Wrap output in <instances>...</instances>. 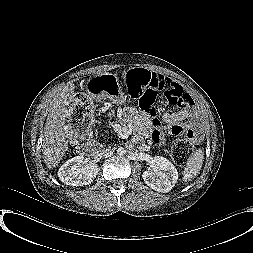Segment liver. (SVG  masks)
Here are the masks:
<instances>
[{
    "mask_svg": "<svg viewBox=\"0 0 253 253\" xmlns=\"http://www.w3.org/2000/svg\"><path fill=\"white\" fill-rule=\"evenodd\" d=\"M75 85L68 83L59 88L53 98L50 112L44 127L42 153L47 168H55L69 148L73 137L70 103Z\"/></svg>",
    "mask_w": 253,
    "mask_h": 253,
    "instance_id": "1",
    "label": "liver"
}]
</instances>
